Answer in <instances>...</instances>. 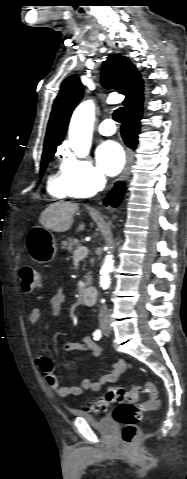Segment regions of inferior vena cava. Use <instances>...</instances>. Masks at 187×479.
Returning <instances> with one entry per match:
<instances>
[{
    "label": "inferior vena cava",
    "mask_w": 187,
    "mask_h": 479,
    "mask_svg": "<svg viewBox=\"0 0 187 479\" xmlns=\"http://www.w3.org/2000/svg\"><path fill=\"white\" fill-rule=\"evenodd\" d=\"M103 184H104V179H102L101 181V185ZM108 317H109L108 309L106 306H103L99 311V319L103 320V319H107Z\"/></svg>",
    "instance_id": "inferior-vena-cava-1"
}]
</instances>
